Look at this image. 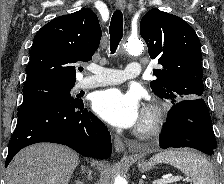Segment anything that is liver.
<instances>
[{
	"instance_id": "liver-1",
	"label": "liver",
	"mask_w": 224,
	"mask_h": 184,
	"mask_svg": "<svg viewBox=\"0 0 224 184\" xmlns=\"http://www.w3.org/2000/svg\"><path fill=\"white\" fill-rule=\"evenodd\" d=\"M79 156L68 147L38 143L16 154L6 171V184H69Z\"/></svg>"
}]
</instances>
